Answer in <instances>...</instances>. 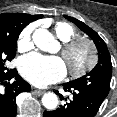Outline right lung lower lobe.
<instances>
[{
  "label": "right lung lower lobe",
  "instance_id": "1",
  "mask_svg": "<svg viewBox=\"0 0 117 117\" xmlns=\"http://www.w3.org/2000/svg\"><path fill=\"white\" fill-rule=\"evenodd\" d=\"M12 78H15L13 83L6 82ZM0 85L5 86V89L0 91V117H15L16 96L23 91H30L31 86L18 75L16 69L0 73Z\"/></svg>",
  "mask_w": 117,
  "mask_h": 117
}]
</instances>
